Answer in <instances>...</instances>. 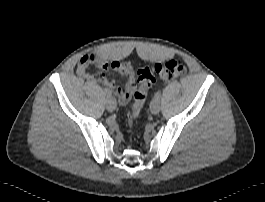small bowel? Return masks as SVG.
Listing matches in <instances>:
<instances>
[{
	"label": "small bowel",
	"mask_w": 265,
	"mask_h": 202,
	"mask_svg": "<svg viewBox=\"0 0 265 202\" xmlns=\"http://www.w3.org/2000/svg\"><path fill=\"white\" fill-rule=\"evenodd\" d=\"M92 66L98 67L102 72L91 73L89 68ZM107 70L119 73L124 78V85L120 86L115 80L109 79L105 73ZM76 73L91 82L102 84L109 94L116 96L122 104L127 103L136 90L134 71L129 63L111 61L96 53L83 55L78 62Z\"/></svg>",
	"instance_id": "obj_1"
}]
</instances>
